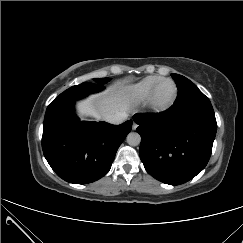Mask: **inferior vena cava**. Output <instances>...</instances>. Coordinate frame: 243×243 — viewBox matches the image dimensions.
<instances>
[{
    "mask_svg": "<svg viewBox=\"0 0 243 243\" xmlns=\"http://www.w3.org/2000/svg\"><path fill=\"white\" fill-rule=\"evenodd\" d=\"M128 115L126 112H117L110 114L105 117V120L111 124H121L127 119Z\"/></svg>",
    "mask_w": 243,
    "mask_h": 243,
    "instance_id": "obj_1",
    "label": "inferior vena cava"
}]
</instances>
